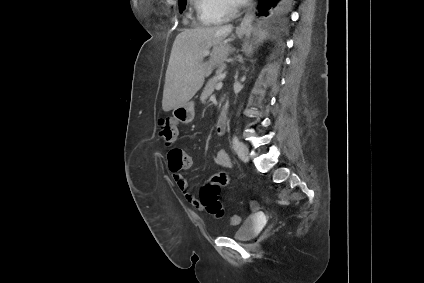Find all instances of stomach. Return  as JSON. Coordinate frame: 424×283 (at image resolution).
Instances as JSON below:
<instances>
[{
  "label": "stomach",
  "instance_id": "0dacf381",
  "mask_svg": "<svg viewBox=\"0 0 424 283\" xmlns=\"http://www.w3.org/2000/svg\"><path fill=\"white\" fill-rule=\"evenodd\" d=\"M239 36H244L246 31L237 32ZM195 115L194 103L189 102L179 107L174 108V118L183 124H188L193 121Z\"/></svg>",
  "mask_w": 424,
  "mask_h": 283
}]
</instances>
